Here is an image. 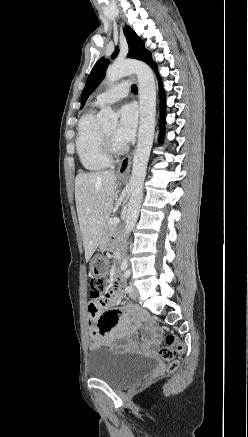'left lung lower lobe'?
<instances>
[{"label": "left lung lower lobe", "instance_id": "0a47b994", "mask_svg": "<svg viewBox=\"0 0 248 437\" xmlns=\"http://www.w3.org/2000/svg\"><path fill=\"white\" fill-rule=\"evenodd\" d=\"M157 72V70H155ZM160 99H161V132H163V124H164V112H165V100H164V93L161 89L160 93Z\"/></svg>", "mask_w": 248, "mask_h": 437}]
</instances>
